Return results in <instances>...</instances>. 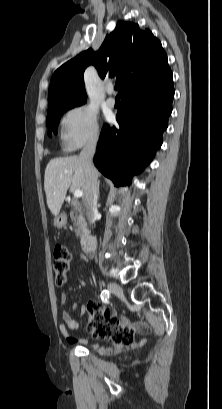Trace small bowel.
<instances>
[{
    "instance_id": "1",
    "label": "small bowel",
    "mask_w": 222,
    "mask_h": 409,
    "mask_svg": "<svg viewBox=\"0 0 222 409\" xmlns=\"http://www.w3.org/2000/svg\"><path fill=\"white\" fill-rule=\"evenodd\" d=\"M60 302L62 305L67 304L68 295L66 293H62L60 297ZM77 307H78L77 305H74V308ZM84 312L85 308L81 306L79 315L80 316L83 315ZM112 317L119 320L123 327H125L129 332L133 333V336L135 332L142 334L148 331V328L145 323L142 322L131 323L124 318H119L115 314H113ZM62 320L63 323L60 324L59 329L60 332L63 334L64 338L66 339V341L71 344L83 343L85 339L76 338L70 333V331L77 330L79 328L78 320L72 316L70 311L68 310L63 311ZM137 346L138 343H136L134 339H131L127 344H118L112 341V343L109 345L97 346L96 351L101 355H112L122 352L125 349V347L135 348Z\"/></svg>"
}]
</instances>
